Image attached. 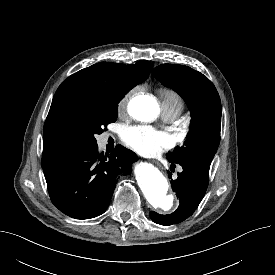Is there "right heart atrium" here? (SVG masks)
<instances>
[{
	"instance_id": "right-heart-atrium-1",
	"label": "right heart atrium",
	"mask_w": 275,
	"mask_h": 275,
	"mask_svg": "<svg viewBox=\"0 0 275 275\" xmlns=\"http://www.w3.org/2000/svg\"><path fill=\"white\" fill-rule=\"evenodd\" d=\"M135 90L128 91L119 101L118 103V111L123 112L126 109V106L129 102L130 97L132 96Z\"/></svg>"
}]
</instances>
